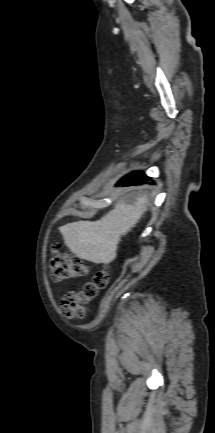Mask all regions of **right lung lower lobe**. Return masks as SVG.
I'll return each mask as SVG.
<instances>
[{
	"label": "right lung lower lobe",
	"instance_id": "obj_1",
	"mask_svg": "<svg viewBox=\"0 0 215 433\" xmlns=\"http://www.w3.org/2000/svg\"><path fill=\"white\" fill-rule=\"evenodd\" d=\"M148 179L149 177L142 174L141 172H133L125 176L124 178H122L117 185H122V186L139 185Z\"/></svg>",
	"mask_w": 215,
	"mask_h": 433
}]
</instances>
